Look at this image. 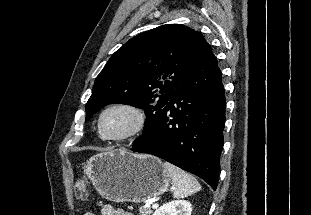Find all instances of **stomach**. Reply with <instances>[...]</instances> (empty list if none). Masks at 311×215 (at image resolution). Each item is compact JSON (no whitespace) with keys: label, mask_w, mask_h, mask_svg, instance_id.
<instances>
[{"label":"stomach","mask_w":311,"mask_h":215,"mask_svg":"<svg viewBox=\"0 0 311 215\" xmlns=\"http://www.w3.org/2000/svg\"><path fill=\"white\" fill-rule=\"evenodd\" d=\"M83 170L102 197L118 203L158 198L170 185L168 172L159 158L121 149L91 157L83 163Z\"/></svg>","instance_id":"0dacf381"}]
</instances>
